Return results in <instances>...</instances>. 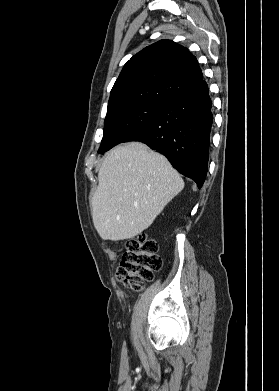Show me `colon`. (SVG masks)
Instances as JSON below:
<instances>
[{
  "mask_svg": "<svg viewBox=\"0 0 279 391\" xmlns=\"http://www.w3.org/2000/svg\"><path fill=\"white\" fill-rule=\"evenodd\" d=\"M162 265L157 242L142 234L126 241L115 277L126 287L139 291L144 287L145 282L153 280Z\"/></svg>",
  "mask_w": 279,
  "mask_h": 391,
  "instance_id": "5ec220e1",
  "label": "colon"
}]
</instances>
